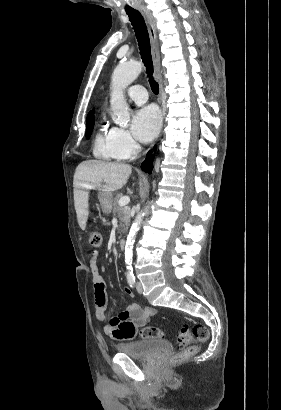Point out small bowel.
Here are the masks:
<instances>
[{
  "label": "small bowel",
  "mask_w": 281,
  "mask_h": 410,
  "mask_svg": "<svg viewBox=\"0 0 281 410\" xmlns=\"http://www.w3.org/2000/svg\"><path fill=\"white\" fill-rule=\"evenodd\" d=\"M89 266L93 280L94 299L96 307V318L100 321L106 320L107 293L106 282L103 279L97 252H92L89 258ZM127 297L134 296L130 288H124ZM154 314L152 308H143L137 304H129L125 311L118 317H111L104 326V331L116 340H132L135 338L139 327L145 325Z\"/></svg>",
  "instance_id": "obj_1"
}]
</instances>
